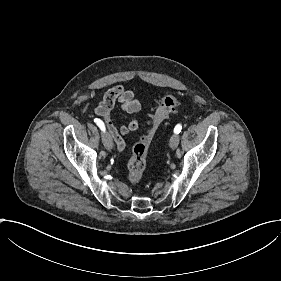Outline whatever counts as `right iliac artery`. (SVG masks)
I'll return each instance as SVG.
<instances>
[{
  "label": "right iliac artery",
  "mask_w": 281,
  "mask_h": 281,
  "mask_svg": "<svg viewBox=\"0 0 281 281\" xmlns=\"http://www.w3.org/2000/svg\"><path fill=\"white\" fill-rule=\"evenodd\" d=\"M94 122L100 127V129H101L102 131L105 132V125H104L103 121H101V120L98 119V118H95V119H94Z\"/></svg>",
  "instance_id": "obj_1"
}]
</instances>
